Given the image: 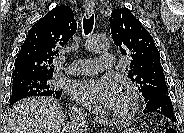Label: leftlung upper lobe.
I'll list each match as a JSON object with an SVG mask.
<instances>
[{"label":"left lung upper lobe","instance_id":"left-lung-upper-lobe-1","mask_svg":"<svg viewBox=\"0 0 184 133\" xmlns=\"http://www.w3.org/2000/svg\"><path fill=\"white\" fill-rule=\"evenodd\" d=\"M112 38L122 55L131 58L128 77L145 103L168 95L160 54L149 32L127 8L113 10L109 18Z\"/></svg>","mask_w":184,"mask_h":133}]
</instances>
